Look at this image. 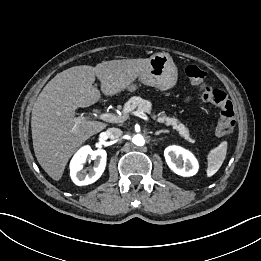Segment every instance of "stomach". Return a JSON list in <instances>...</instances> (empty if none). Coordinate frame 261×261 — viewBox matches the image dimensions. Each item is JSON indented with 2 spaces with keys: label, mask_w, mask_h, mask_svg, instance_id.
Returning a JSON list of instances; mask_svg holds the SVG:
<instances>
[{
  "label": "stomach",
  "mask_w": 261,
  "mask_h": 261,
  "mask_svg": "<svg viewBox=\"0 0 261 261\" xmlns=\"http://www.w3.org/2000/svg\"><path fill=\"white\" fill-rule=\"evenodd\" d=\"M178 79V71L172 58L166 53H156L149 58V64L139 76V81L161 91L173 88ZM130 91L137 89L136 84L128 87Z\"/></svg>",
  "instance_id": "1"
}]
</instances>
